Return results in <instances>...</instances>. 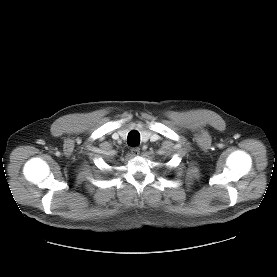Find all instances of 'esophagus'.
Masks as SVG:
<instances>
[{
  "mask_svg": "<svg viewBox=\"0 0 277 277\" xmlns=\"http://www.w3.org/2000/svg\"><path fill=\"white\" fill-rule=\"evenodd\" d=\"M131 153L133 156H138L140 154V148L139 147H133L131 149Z\"/></svg>",
  "mask_w": 277,
  "mask_h": 277,
  "instance_id": "34e87169",
  "label": "esophagus"
}]
</instances>
